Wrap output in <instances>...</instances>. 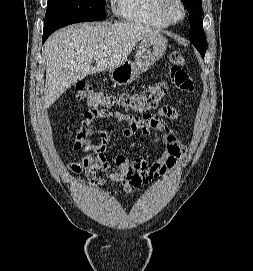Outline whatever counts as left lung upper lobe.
<instances>
[{"label":"left lung upper lobe","instance_id":"left-lung-upper-lobe-1","mask_svg":"<svg viewBox=\"0 0 253 271\" xmlns=\"http://www.w3.org/2000/svg\"><path fill=\"white\" fill-rule=\"evenodd\" d=\"M189 12L190 41L204 58L206 37L202 26V1L182 0Z\"/></svg>","mask_w":253,"mask_h":271}]
</instances>
